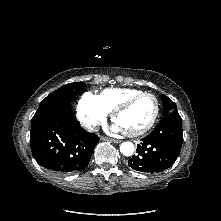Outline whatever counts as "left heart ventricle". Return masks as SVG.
<instances>
[{
    "instance_id": "1",
    "label": "left heart ventricle",
    "mask_w": 221,
    "mask_h": 221,
    "mask_svg": "<svg viewBox=\"0 0 221 221\" xmlns=\"http://www.w3.org/2000/svg\"><path fill=\"white\" fill-rule=\"evenodd\" d=\"M154 111V99L150 96L141 97L117 116L116 123L124 131H137L149 123Z\"/></svg>"
}]
</instances>
